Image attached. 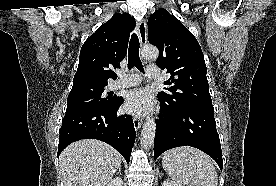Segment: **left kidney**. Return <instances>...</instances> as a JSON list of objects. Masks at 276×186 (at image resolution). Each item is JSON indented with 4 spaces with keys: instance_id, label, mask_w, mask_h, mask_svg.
<instances>
[{
    "instance_id": "1",
    "label": "left kidney",
    "mask_w": 276,
    "mask_h": 186,
    "mask_svg": "<svg viewBox=\"0 0 276 186\" xmlns=\"http://www.w3.org/2000/svg\"><path fill=\"white\" fill-rule=\"evenodd\" d=\"M162 186H183L182 184L180 183H176L174 181H171V180H166L163 182Z\"/></svg>"
}]
</instances>
